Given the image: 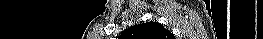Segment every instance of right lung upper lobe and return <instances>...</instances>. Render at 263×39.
<instances>
[{"label": "right lung upper lobe", "instance_id": "1", "mask_svg": "<svg viewBox=\"0 0 263 39\" xmlns=\"http://www.w3.org/2000/svg\"><path fill=\"white\" fill-rule=\"evenodd\" d=\"M121 35L135 39H174L173 34L158 22H147L126 29Z\"/></svg>", "mask_w": 263, "mask_h": 39}]
</instances>
